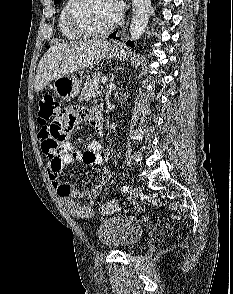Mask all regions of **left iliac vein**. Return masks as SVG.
<instances>
[{"label": "left iliac vein", "instance_id": "obj_1", "mask_svg": "<svg viewBox=\"0 0 233 294\" xmlns=\"http://www.w3.org/2000/svg\"><path fill=\"white\" fill-rule=\"evenodd\" d=\"M132 193L134 195V198H141L142 190L141 189H138L136 186H134L132 188Z\"/></svg>", "mask_w": 233, "mask_h": 294}]
</instances>
